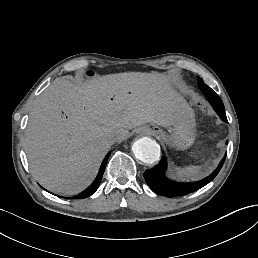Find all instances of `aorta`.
Returning <instances> with one entry per match:
<instances>
[{
    "label": "aorta",
    "instance_id": "aorta-1",
    "mask_svg": "<svg viewBox=\"0 0 258 258\" xmlns=\"http://www.w3.org/2000/svg\"><path fill=\"white\" fill-rule=\"evenodd\" d=\"M132 151L143 163L153 164L160 159V146L151 138L143 137L134 142Z\"/></svg>",
    "mask_w": 258,
    "mask_h": 258
}]
</instances>
